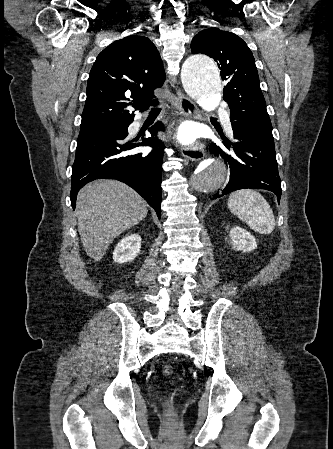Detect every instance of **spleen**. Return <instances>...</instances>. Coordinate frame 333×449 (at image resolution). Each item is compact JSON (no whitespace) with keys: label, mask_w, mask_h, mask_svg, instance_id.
<instances>
[{"label":"spleen","mask_w":333,"mask_h":449,"mask_svg":"<svg viewBox=\"0 0 333 449\" xmlns=\"http://www.w3.org/2000/svg\"><path fill=\"white\" fill-rule=\"evenodd\" d=\"M228 208L253 230L269 234L275 228L273 211L265 198L252 189H240L228 199Z\"/></svg>","instance_id":"spleen-1"}]
</instances>
